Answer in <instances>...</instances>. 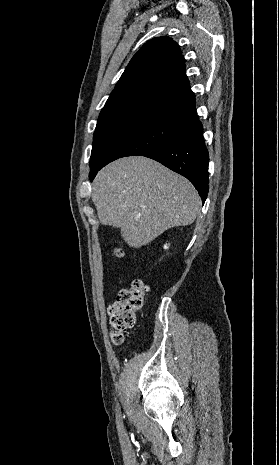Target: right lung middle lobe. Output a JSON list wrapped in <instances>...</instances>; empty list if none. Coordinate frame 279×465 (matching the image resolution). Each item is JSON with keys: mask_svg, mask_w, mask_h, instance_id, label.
Wrapping results in <instances>:
<instances>
[{"mask_svg": "<svg viewBox=\"0 0 279 465\" xmlns=\"http://www.w3.org/2000/svg\"><path fill=\"white\" fill-rule=\"evenodd\" d=\"M178 126L141 120L96 128L90 158L91 171L124 156L145 154L169 140Z\"/></svg>", "mask_w": 279, "mask_h": 465, "instance_id": "1", "label": "right lung middle lobe"}]
</instances>
